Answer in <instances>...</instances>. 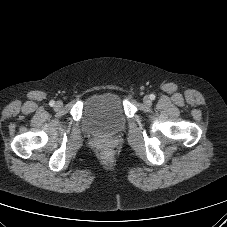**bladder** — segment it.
<instances>
[{
	"label": "bladder",
	"instance_id": "31cf9c89",
	"mask_svg": "<svg viewBox=\"0 0 227 227\" xmlns=\"http://www.w3.org/2000/svg\"><path fill=\"white\" fill-rule=\"evenodd\" d=\"M81 124L84 132L93 136H113L122 132L127 118L121 97L112 91L93 95L84 107Z\"/></svg>",
	"mask_w": 227,
	"mask_h": 227
}]
</instances>
